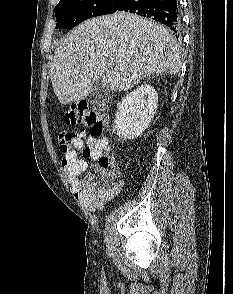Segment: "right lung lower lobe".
I'll return each instance as SVG.
<instances>
[{
	"label": "right lung lower lobe",
	"mask_w": 233,
	"mask_h": 294,
	"mask_svg": "<svg viewBox=\"0 0 233 294\" xmlns=\"http://www.w3.org/2000/svg\"><path fill=\"white\" fill-rule=\"evenodd\" d=\"M117 11L152 17L170 27L176 36L180 34L181 21L177 0H124Z\"/></svg>",
	"instance_id": "1"
}]
</instances>
